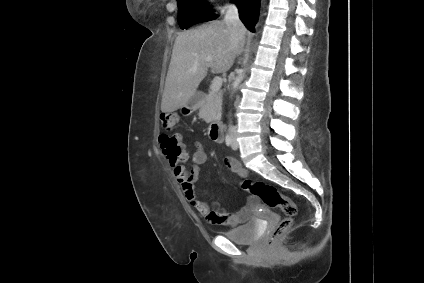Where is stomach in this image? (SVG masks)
Wrapping results in <instances>:
<instances>
[{"label":"stomach","mask_w":424,"mask_h":283,"mask_svg":"<svg viewBox=\"0 0 424 283\" xmlns=\"http://www.w3.org/2000/svg\"><path fill=\"white\" fill-rule=\"evenodd\" d=\"M195 108V105H185L182 107V113L185 114V110H189L190 112Z\"/></svg>","instance_id":"1"}]
</instances>
